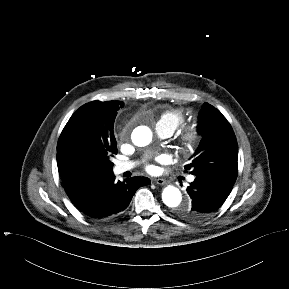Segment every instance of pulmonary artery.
Returning <instances> with one entry per match:
<instances>
[{"label":"pulmonary artery","instance_id":"pulmonary-artery-1","mask_svg":"<svg viewBox=\"0 0 289 289\" xmlns=\"http://www.w3.org/2000/svg\"><path fill=\"white\" fill-rule=\"evenodd\" d=\"M156 133L160 136V137H169L172 135V131L167 128L166 126H164L163 124L157 123L156 127H155ZM135 166L134 162L131 161H119L116 163L115 167H114V172L115 174H122L126 171L131 170L133 167ZM195 177L194 176H189L188 180L190 182L194 181Z\"/></svg>","mask_w":289,"mask_h":289}]
</instances>
